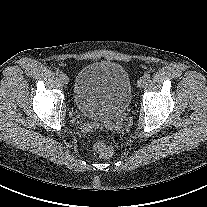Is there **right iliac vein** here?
I'll list each match as a JSON object with an SVG mask.
<instances>
[{
  "instance_id": "obj_1",
  "label": "right iliac vein",
  "mask_w": 207,
  "mask_h": 207,
  "mask_svg": "<svg viewBox=\"0 0 207 207\" xmlns=\"http://www.w3.org/2000/svg\"><path fill=\"white\" fill-rule=\"evenodd\" d=\"M60 80L64 83V84H67L69 82V78L66 74H62L60 76Z\"/></svg>"
}]
</instances>
